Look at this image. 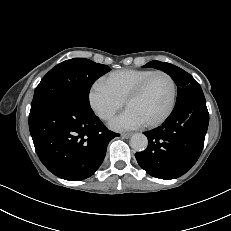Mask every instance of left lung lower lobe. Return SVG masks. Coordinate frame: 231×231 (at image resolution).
I'll return each mask as SVG.
<instances>
[{"instance_id": "obj_1", "label": "left lung lower lobe", "mask_w": 231, "mask_h": 231, "mask_svg": "<svg viewBox=\"0 0 231 231\" xmlns=\"http://www.w3.org/2000/svg\"><path fill=\"white\" fill-rule=\"evenodd\" d=\"M209 113L201 87L188 89L170 117L155 130L145 132L148 147L135 154L138 164L159 179H175L192 168L204 145Z\"/></svg>"}]
</instances>
